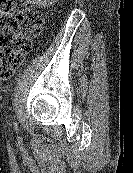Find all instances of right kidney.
I'll return each instance as SVG.
<instances>
[{
  "mask_svg": "<svg viewBox=\"0 0 133 173\" xmlns=\"http://www.w3.org/2000/svg\"><path fill=\"white\" fill-rule=\"evenodd\" d=\"M39 5L41 6H46V5H51L53 4L54 2L58 1V0H36Z\"/></svg>",
  "mask_w": 133,
  "mask_h": 173,
  "instance_id": "ca27d5eb",
  "label": "right kidney"
}]
</instances>
